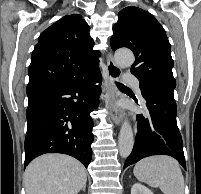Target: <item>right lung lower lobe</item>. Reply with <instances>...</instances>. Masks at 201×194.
Instances as JSON below:
<instances>
[{
    "label": "right lung lower lobe",
    "instance_id": "obj_1",
    "mask_svg": "<svg viewBox=\"0 0 201 194\" xmlns=\"http://www.w3.org/2000/svg\"><path fill=\"white\" fill-rule=\"evenodd\" d=\"M99 70L72 83L43 82L28 85V122L25 166L45 153H63L88 167L92 158L93 120L101 93Z\"/></svg>",
    "mask_w": 201,
    "mask_h": 194
}]
</instances>
